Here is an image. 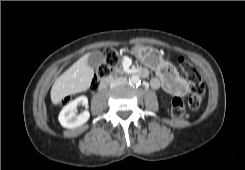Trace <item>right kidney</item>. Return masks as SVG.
I'll return each instance as SVG.
<instances>
[{
    "label": "right kidney",
    "mask_w": 245,
    "mask_h": 170,
    "mask_svg": "<svg viewBox=\"0 0 245 170\" xmlns=\"http://www.w3.org/2000/svg\"><path fill=\"white\" fill-rule=\"evenodd\" d=\"M78 106H88V99L86 96H80L63 107L58 116V120L63 127L75 128L88 121L90 117L88 110H84L76 115Z\"/></svg>",
    "instance_id": "1"
}]
</instances>
